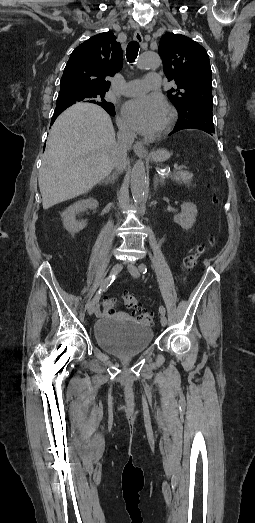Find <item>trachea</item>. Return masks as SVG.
Masks as SVG:
<instances>
[{
  "mask_svg": "<svg viewBox=\"0 0 255 523\" xmlns=\"http://www.w3.org/2000/svg\"><path fill=\"white\" fill-rule=\"evenodd\" d=\"M139 43L137 41H131L126 49V58L129 63H133L138 55Z\"/></svg>",
  "mask_w": 255,
  "mask_h": 523,
  "instance_id": "trachea-1",
  "label": "trachea"
}]
</instances>
